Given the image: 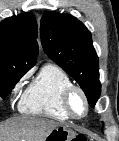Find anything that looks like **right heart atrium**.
Instances as JSON below:
<instances>
[{"label": "right heart atrium", "instance_id": "1", "mask_svg": "<svg viewBox=\"0 0 119 141\" xmlns=\"http://www.w3.org/2000/svg\"><path fill=\"white\" fill-rule=\"evenodd\" d=\"M29 74H26L14 87L13 89V95L16 96V94L20 91L24 81L26 80V78L28 77Z\"/></svg>", "mask_w": 119, "mask_h": 141}]
</instances>
